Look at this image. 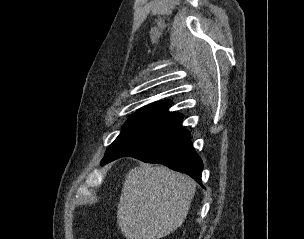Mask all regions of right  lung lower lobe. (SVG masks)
Returning a JSON list of instances; mask_svg holds the SVG:
<instances>
[{
  "instance_id": "right-lung-lower-lobe-1",
  "label": "right lung lower lobe",
  "mask_w": 304,
  "mask_h": 239,
  "mask_svg": "<svg viewBox=\"0 0 304 239\" xmlns=\"http://www.w3.org/2000/svg\"><path fill=\"white\" fill-rule=\"evenodd\" d=\"M182 119L169 121L150 133L106 155L102 164L130 156L148 163H160L191 176L201 184L203 163L190 142Z\"/></svg>"
}]
</instances>
